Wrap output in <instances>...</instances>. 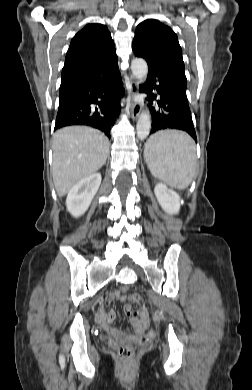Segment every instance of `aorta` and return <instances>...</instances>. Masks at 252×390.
<instances>
[{"label": "aorta", "mask_w": 252, "mask_h": 390, "mask_svg": "<svg viewBox=\"0 0 252 390\" xmlns=\"http://www.w3.org/2000/svg\"><path fill=\"white\" fill-rule=\"evenodd\" d=\"M131 70H132V74L140 82L146 79L148 73V66L144 59L141 58L133 59L131 62ZM136 129H137V137L140 140H144L149 135L151 129V119L148 111H143L141 113L137 121Z\"/></svg>", "instance_id": "1"}]
</instances>
